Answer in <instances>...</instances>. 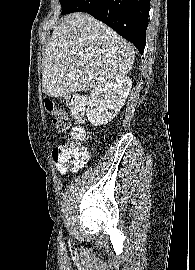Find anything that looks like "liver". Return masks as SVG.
Here are the masks:
<instances>
[{
    "label": "liver",
    "instance_id": "6515ba94",
    "mask_svg": "<svg viewBox=\"0 0 195 270\" xmlns=\"http://www.w3.org/2000/svg\"><path fill=\"white\" fill-rule=\"evenodd\" d=\"M134 47L87 13L61 18L48 41L42 91L66 97L124 77L134 63Z\"/></svg>",
    "mask_w": 195,
    "mask_h": 270
}]
</instances>
